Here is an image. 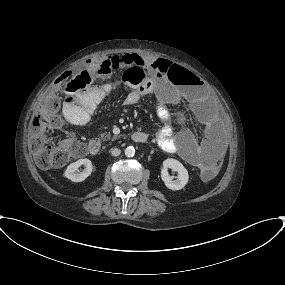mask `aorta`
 <instances>
[{"mask_svg": "<svg viewBox=\"0 0 285 285\" xmlns=\"http://www.w3.org/2000/svg\"><path fill=\"white\" fill-rule=\"evenodd\" d=\"M134 154H135V149H134L133 146H129V147H127V148L125 149V155H126L127 157H133Z\"/></svg>", "mask_w": 285, "mask_h": 285, "instance_id": "1", "label": "aorta"}]
</instances>
